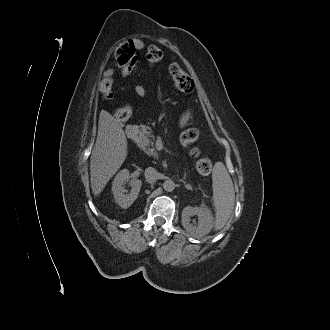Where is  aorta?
<instances>
[{"label":"aorta","instance_id":"obj_1","mask_svg":"<svg viewBox=\"0 0 330 330\" xmlns=\"http://www.w3.org/2000/svg\"><path fill=\"white\" fill-rule=\"evenodd\" d=\"M176 185L172 180H166L163 183V189L167 192H172L175 189Z\"/></svg>","mask_w":330,"mask_h":330}]
</instances>
